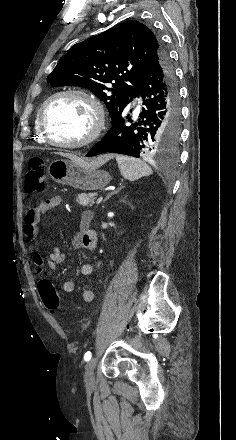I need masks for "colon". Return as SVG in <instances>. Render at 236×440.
Returning a JSON list of instances; mask_svg holds the SVG:
<instances>
[{
	"mask_svg": "<svg viewBox=\"0 0 236 440\" xmlns=\"http://www.w3.org/2000/svg\"><path fill=\"white\" fill-rule=\"evenodd\" d=\"M46 183L45 165L42 159L31 158L25 176V188L30 193H40L44 190ZM39 292L46 309L55 312L60 307V298L56 289L48 280L39 282Z\"/></svg>",
	"mask_w": 236,
	"mask_h": 440,
	"instance_id": "1",
	"label": "colon"
}]
</instances>
